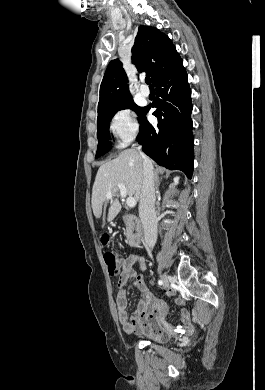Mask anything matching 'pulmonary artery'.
Masks as SVG:
<instances>
[{
	"mask_svg": "<svg viewBox=\"0 0 265 390\" xmlns=\"http://www.w3.org/2000/svg\"><path fill=\"white\" fill-rule=\"evenodd\" d=\"M140 94H141L142 97L147 98L150 95L149 88L147 86H145V85H142L140 87Z\"/></svg>",
	"mask_w": 265,
	"mask_h": 390,
	"instance_id": "e3ab8cb5",
	"label": "pulmonary artery"
}]
</instances>
